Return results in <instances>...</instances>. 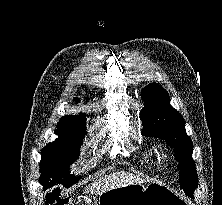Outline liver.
<instances>
[{
	"mask_svg": "<svg viewBox=\"0 0 222 205\" xmlns=\"http://www.w3.org/2000/svg\"><path fill=\"white\" fill-rule=\"evenodd\" d=\"M136 183L141 184L143 180L127 172H115L86 186L85 192L100 195L108 190Z\"/></svg>",
	"mask_w": 222,
	"mask_h": 205,
	"instance_id": "6515ba94",
	"label": "liver"
}]
</instances>
